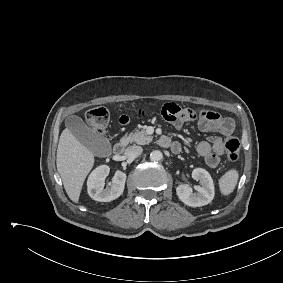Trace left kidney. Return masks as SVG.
I'll return each mask as SVG.
<instances>
[{"label": "left kidney", "instance_id": "obj_1", "mask_svg": "<svg viewBox=\"0 0 283 283\" xmlns=\"http://www.w3.org/2000/svg\"><path fill=\"white\" fill-rule=\"evenodd\" d=\"M192 178L200 181L201 186L197 187V193H193L188 185L177 186L176 193L178 198L186 205L200 207L209 204L215 195L214 183L211 175L203 168H195L192 171Z\"/></svg>", "mask_w": 283, "mask_h": 283}]
</instances>
